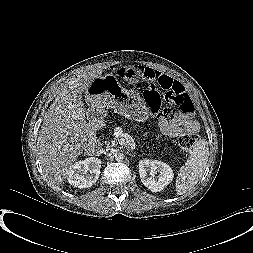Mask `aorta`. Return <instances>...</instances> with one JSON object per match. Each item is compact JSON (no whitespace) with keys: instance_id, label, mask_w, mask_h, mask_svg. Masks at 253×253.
Returning <instances> with one entry per match:
<instances>
[{"instance_id":"762f6f07","label":"aorta","mask_w":253,"mask_h":253,"mask_svg":"<svg viewBox=\"0 0 253 253\" xmlns=\"http://www.w3.org/2000/svg\"><path fill=\"white\" fill-rule=\"evenodd\" d=\"M123 159H124V154L118 153V154L115 155V160H116V161L120 162V161H122Z\"/></svg>"}]
</instances>
